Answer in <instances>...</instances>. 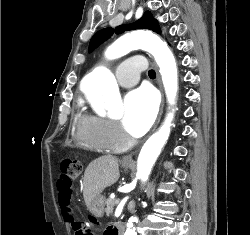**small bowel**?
<instances>
[{
    "label": "small bowel",
    "instance_id": "c3829d8e",
    "mask_svg": "<svg viewBox=\"0 0 250 235\" xmlns=\"http://www.w3.org/2000/svg\"><path fill=\"white\" fill-rule=\"evenodd\" d=\"M72 192L58 188L57 203L64 219L70 214Z\"/></svg>",
    "mask_w": 250,
    "mask_h": 235
}]
</instances>
